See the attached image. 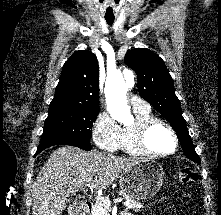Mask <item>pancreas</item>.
<instances>
[{
  "label": "pancreas",
  "instance_id": "1",
  "mask_svg": "<svg viewBox=\"0 0 221 215\" xmlns=\"http://www.w3.org/2000/svg\"><path fill=\"white\" fill-rule=\"evenodd\" d=\"M119 194L121 196H124L125 199L127 200L126 202H124V206L127 209L138 210V209L143 208L142 203L131 199L123 190H120ZM109 211H110V206H107L104 202H101V203L96 202L92 211V215H109Z\"/></svg>",
  "mask_w": 221,
  "mask_h": 215
}]
</instances>
